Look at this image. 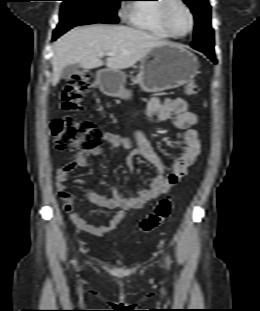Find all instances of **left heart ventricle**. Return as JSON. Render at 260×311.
<instances>
[{
	"label": "left heart ventricle",
	"mask_w": 260,
	"mask_h": 311,
	"mask_svg": "<svg viewBox=\"0 0 260 311\" xmlns=\"http://www.w3.org/2000/svg\"><path fill=\"white\" fill-rule=\"evenodd\" d=\"M168 22L176 34H185L190 28V18L187 11L178 3H173L169 9Z\"/></svg>",
	"instance_id": "b2bd125f"
}]
</instances>
